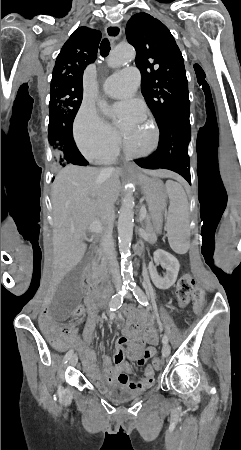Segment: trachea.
I'll return each instance as SVG.
<instances>
[{"label":"trachea","mask_w":241,"mask_h":450,"mask_svg":"<svg viewBox=\"0 0 241 450\" xmlns=\"http://www.w3.org/2000/svg\"><path fill=\"white\" fill-rule=\"evenodd\" d=\"M110 52V42L108 38H104L100 44V54L102 57H107Z\"/></svg>","instance_id":"3493384b"}]
</instances>
